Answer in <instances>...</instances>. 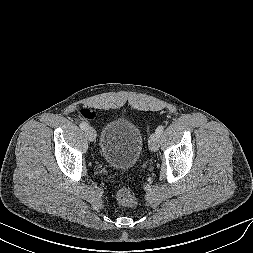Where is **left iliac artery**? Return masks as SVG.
Returning <instances> with one entry per match:
<instances>
[{"mask_svg":"<svg viewBox=\"0 0 253 253\" xmlns=\"http://www.w3.org/2000/svg\"><path fill=\"white\" fill-rule=\"evenodd\" d=\"M163 131H164V126L160 125L157 127L155 133L160 136L163 133Z\"/></svg>","mask_w":253,"mask_h":253,"instance_id":"obj_1","label":"left iliac artery"}]
</instances>
